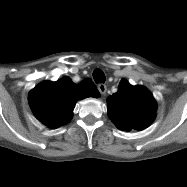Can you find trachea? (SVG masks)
I'll use <instances>...</instances> for the list:
<instances>
[{
	"mask_svg": "<svg viewBox=\"0 0 187 187\" xmlns=\"http://www.w3.org/2000/svg\"><path fill=\"white\" fill-rule=\"evenodd\" d=\"M93 78L96 83H104L106 80L104 72L100 69L94 70Z\"/></svg>",
	"mask_w": 187,
	"mask_h": 187,
	"instance_id": "3493384b",
	"label": "trachea"
}]
</instances>
